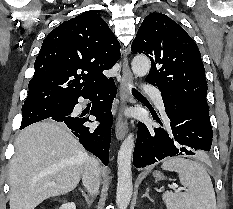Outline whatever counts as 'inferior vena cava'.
Returning a JSON list of instances; mask_svg holds the SVG:
<instances>
[{
	"mask_svg": "<svg viewBox=\"0 0 233 209\" xmlns=\"http://www.w3.org/2000/svg\"><path fill=\"white\" fill-rule=\"evenodd\" d=\"M101 168L99 160L95 157H90L82 176L84 187L91 195H97L100 186Z\"/></svg>",
	"mask_w": 233,
	"mask_h": 209,
	"instance_id": "1",
	"label": "inferior vena cava"
}]
</instances>
